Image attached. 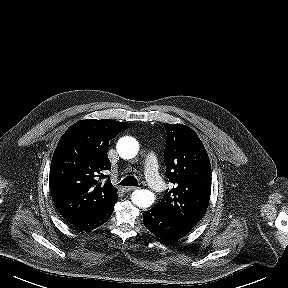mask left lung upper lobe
<instances>
[{
  "mask_svg": "<svg viewBox=\"0 0 288 288\" xmlns=\"http://www.w3.org/2000/svg\"><path fill=\"white\" fill-rule=\"evenodd\" d=\"M167 141L164 161L169 181L175 185L166 190L155 205L170 218L194 227L204 216L211 194V165L205 147L197 134L180 124H164Z\"/></svg>",
  "mask_w": 288,
  "mask_h": 288,
  "instance_id": "obj_1",
  "label": "left lung upper lobe"
}]
</instances>
